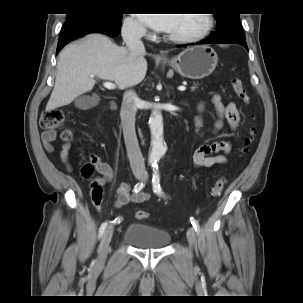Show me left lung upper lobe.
I'll use <instances>...</instances> for the list:
<instances>
[{
    "label": "left lung upper lobe",
    "mask_w": 303,
    "mask_h": 303,
    "mask_svg": "<svg viewBox=\"0 0 303 303\" xmlns=\"http://www.w3.org/2000/svg\"><path fill=\"white\" fill-rule=\"evenodd\" d=\"M215 16L217 18V31L216 33L212 32L209 39L216 34L220 39L245 40L238 13H222L215 14Z\"/></svg>",
    "instance_id": "1"
}]
</instances>
